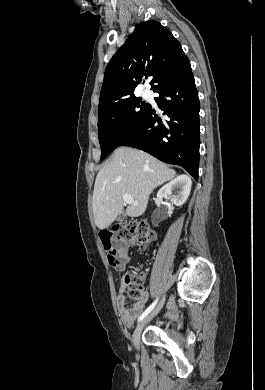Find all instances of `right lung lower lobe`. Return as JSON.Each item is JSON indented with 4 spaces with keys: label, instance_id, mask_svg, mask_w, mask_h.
Wrapping results in <instances>:
<instances>
[{
    "label": "right lung lower lobe",
    "instance_id": "right-lung-lower-lobe-1",
    "mask_svg": "<svg viewBox=\"0 0 265 390\" xmlns=\"http://www.w3.org/2000/svg\"><path fill=\"white\" fill-rule=\"evenodd\" d=\"M165 118L150 106L145 118L120 144L141 149L159 160L182 166L196 180L199 167V99L188 61L154 90Z\"/></svg>",
    "mask_w": 265,
    "mask_h": 390
}]
</instances>
